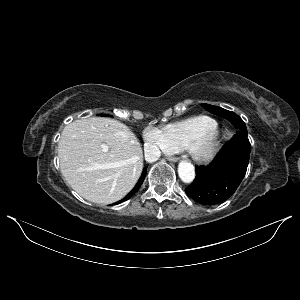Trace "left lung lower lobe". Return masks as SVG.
<instances>
[{"label":"left lung lower lobe","mask_w":300,"mask_h":300,"mask_svg":"<svg viewBox=\"0 0 300 300\" xmlns=\"http://www.w3.org/2000/svg\"><path fill=\"white\" fill-rule=\"evenodd\" d=\"M249 156L247 135L237 133L208 166H196V177L185 192L202 205H215L228 199L246 174Z\"/></svg>","instance_id":"1"}]
</instances>
